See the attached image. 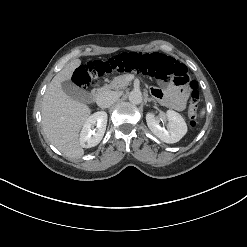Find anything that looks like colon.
Instances as JSON below:
<instances>
[{"label":"colon","instance_id":"1","mask_svg":"<svg viewBox=\"0 0 247 247\" xmlns=\"http://www.w3.org/2000/svg\"><path fill=\"white\" fill-rule=\"evenodd\" d=\"M114 72H138L161 80L173 81L186 86L188 116L192 127L197 125L199 91L198 84L190 78L187 67L173 57L153 52L120 54L106 62L92 61L79 67L74 73V82L81 88L88 87L101 76Z\"/></svg>","mask_w":247,"mask_h":247}]
</instances>
